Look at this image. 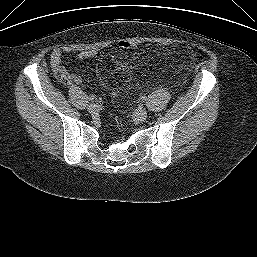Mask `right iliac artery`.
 <instances>
[{"mask_svg": "<svg viewBox=\"0 0 257 257\" xmlns=\"http://www.w3.org/2000/svg\"><path fill=\"white\" fill-rule=\"evenodd\" d=\"M94 98H95V97H94L93 95H91V96L88 97V99H89L90 101H93Z\"/></svg>", "mask_w": 257, "mask_h": 257, "instance_id": "right-iliac-artery-1", "label": "right iliac artery"}]
</instances>
